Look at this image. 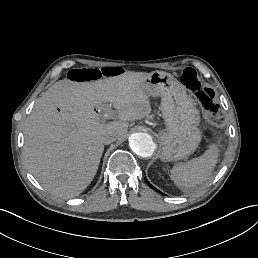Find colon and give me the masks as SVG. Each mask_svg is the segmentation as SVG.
<instances>
[{"instance_id": "obj_1", "label": "colon", "mask_w": 258, "mask_h": 258, "mask_svg": "<svg viewBox=\"0 0 258 258\" xmlns=\"http://www.w3.org/2000/svg\"><path fill=\"white\" fill-rule=\"evenodd\" d=\"M121 72L122 69L118 67L79 68L70 70L67 74V79L80 83L94 82L102 78L116 77ZM181 81L206 112L210 114L217 112L218 106L213 90L203 85L194 69L186 68L181 74Z\"/></svg>"}]
</instances>
